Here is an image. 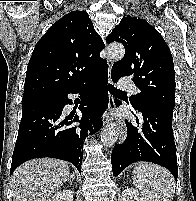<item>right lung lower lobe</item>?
I'll return each mask as SVG.
<instances>
[{
	"instance_id": "obj_1",
	"label": "right lung lower lobe",
	"mask_w": 196,
	"mask_h": 201,
	"mask_svg": "<svg viewBox=\"0 0 196 201\" xmlns=\"http://www.w3.org/2000/svg\"><path fill=\"white\" fill-rule=\"evenodd\" d=\"M107 80L108 67L104 65L80 84L23 106L10 174L20 164L40 157L71 162L80 171L84 140L103 125L101 116L108 107ZM68 94L80 95L81 118L77 114L63 116L64 106L72 104Z\"/></svg>"
}]
</instances>
